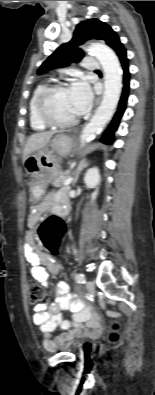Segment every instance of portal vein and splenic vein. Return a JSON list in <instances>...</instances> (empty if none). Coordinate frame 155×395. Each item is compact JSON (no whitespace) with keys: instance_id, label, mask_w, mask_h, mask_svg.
<instances>
[{"instance_id":"obj_1","label":"portal vein and splenic vein","mask_w":155,"mask_h":395,"mask_svg":"<svg viewBox=\"0 0 155 395\" xmlns=\"http://www.w3.org/2000/svg\"><path fill=\"white\" fill-rule=\"evenodd\" d=\"M72 177H69L68 179L65 180V182L63 183L64 185H69L72 181Z\"/></svg>"}]
</instances>
